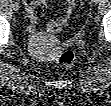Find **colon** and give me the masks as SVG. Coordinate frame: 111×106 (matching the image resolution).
Instances as JSON below:
<instances>
[{
    "label": "colon",
    "instance_id": "obj_1",
    "mask_svg": "<svg viewBox=\"0 0 111 106\" xmlns=\"http://www.w3.org/2000/svg\"><path fill=\"white\" fill-rule=\"evenodd\" d=\"M75 2L69 0L66 2V9L61 17L52 19L47 24V31L49 33H57L61 31L67 24L73 13ZM75 61V55L71 50H64L58 56V64L63 67H70Z\"/></svg>",
    "mask_w": 111,
    "mask_h": 106
}]
</instances>
